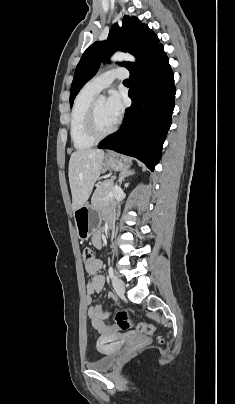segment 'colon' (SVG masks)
<instances>
[{
	"instance_id": "obj_1",
	"label": "colon",
	"mask_w": 235,
	"mask_h": 404,
	"mask_svg": "<svg viewBox=\"0 0 235 404\" xmlns=\"http://www.w3.org/2000/svg\"><path fill=\"white\" fill-rule=\"evenodd\" d=\"M83 262L87 265L93 261V251L91 248L86 247L82 252ZM115 322L117 327L120 330H125L128 327L132 326L135 331L142 334H153L155 332V326L149 323L137 322L131 324L130 319L128 318L127 312L125 310H119L115 315ZM163 342V339H160ZM102 347V346H101Z\"/></svg>"
}]
</instances>
